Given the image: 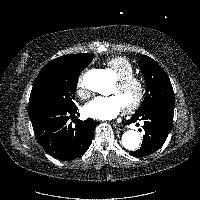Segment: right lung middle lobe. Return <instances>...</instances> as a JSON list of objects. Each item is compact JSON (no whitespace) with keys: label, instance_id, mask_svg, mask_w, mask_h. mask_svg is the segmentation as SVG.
Masks as SVG:
<instances>
[{"label":"right lung middle lobe","instance_id":"right-lung-middle-lobe-1","mask_svg":"<svg viewBox=\"0 0 200 200\" xmlns=\"http://www.w3.org/2000/svg\"><path fill=\"white\" fill-rule=\"evenodd\" d=\"M92 61V56L85 53L79 63L57 74H39L36 78L29 99V112L47 110L56 107L72 108L78 77Z\"/></svg>","mask_w":200,"mask_h":200}]
</instances>
